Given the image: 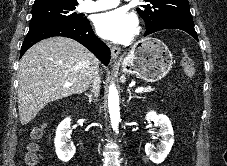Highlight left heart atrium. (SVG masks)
<instances>
[{
	"label": "left heart atrium",
	"mask_w": 227,
	"mask_h": 166,
	"mask_svg": "<svg viewBox=\"0 0 227 166\" xmlns=\"http://www.w3.org/2000/svg\"><path fill=\"white\" fill-rule=\"evenodd\" d=\"M136 25L135 16L121 9L102 13L95 21L97 34L113 42L128 41L134 35Z\"/></svg>",
	"instance_id": "1"
}]
</instances>
